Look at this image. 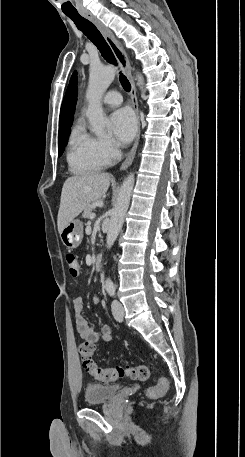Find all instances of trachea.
<instances>
[{"label": "trachea", "instance_id": "trachea-1", "mask_svg": "<svg viewBox=\"0 0 245 457\" xmlns=\"http://www.w3.org/2000/svg\"><path fill=\"white\" fill-rule=\"evenodd\" d=\"M65 15L75 23L78 30H81V32H83V34L86 35V37H88L89 40L94 43V45H96L102 57L107 60V62L116 64V60L111 48L106 43V40L103 38L99 30H97L96 26L90 22V20L84 18L82 15H80V13H65ZM120 82L124 90L126 92H130L131 84L122 73L120 74Z\"/></svg>", "mask_w": 245, "mask_h": 457}]
</instances>
